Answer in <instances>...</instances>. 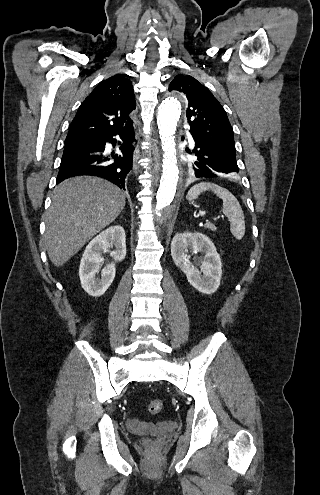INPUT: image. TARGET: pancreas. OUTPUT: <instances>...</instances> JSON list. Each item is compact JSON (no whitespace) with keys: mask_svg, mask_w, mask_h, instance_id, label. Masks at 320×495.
Returning a JSON list of instances; mask_svg holds the SVG:
<instances>
[{"mask_svg":"<svg viewBox=\"0 0 320 495\" xmlns=\"http://www.w3.org/2000/svg\"><path fill=\"white\" fill-rule=\"evenodd\" d=\"M205 228H206V229H210V230H212V231H216V229H217V228L215 227V225H214V224H212V223H206V224H205Z\"/></svg>","mask_w":320,"mask_h":495,"instance_id":"cf45deb5","label":"pancreas"}]
</instances>
